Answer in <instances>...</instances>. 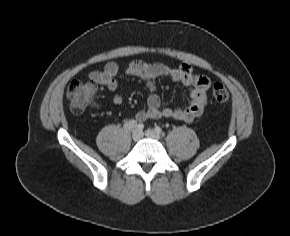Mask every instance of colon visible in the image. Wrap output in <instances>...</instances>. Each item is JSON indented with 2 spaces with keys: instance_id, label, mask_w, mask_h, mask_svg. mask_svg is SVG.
<instances>
[{
  "instance_id": "1",
  "label": "colon",
  "mask_w": 290,
  "mask_h": 236,
  "mask_svg": "<svg viewBox=\"0 0 290 236\" xmlns=\"http://www.w3.org/2000/svg\"><path fill=\"white\" fill-rule=\"evenodd\" d=\"M96 93V87L90 82L73 81L67 87V98L71 111L81 114L90 105ZM212 97L216 102H226L229 99L227 88L220 83L213 86Z\"/></svg>"
}]
</instances>
